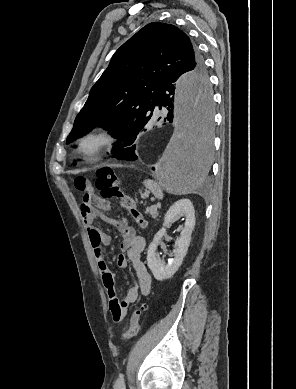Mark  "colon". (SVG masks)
<instances>
[{
  "mask_svg": "<svg viewBox=\"0 0 296 389\" xmlns=\"http://www.w3.org/2000/svg\"><path fill=\"white\" fill-rule=\"evenodd\" d=\"M74 186L78 191L84 194H88L92 190L91 183L83 176L75 178ZM95 187L99 191L101 198L105 200L119 199L121 205L130 213L136 224L140 227L146 226V221L142 213L137 209L133 198L122 191L119 179L113 169L109 167L100 168L96 174ZM145 309L146 305L141 304L134 310L130 319L129 328L122 335V338L125 341L131 340L137 336L140 329V316ZM113 320L115 322L122 320V315L119 311H116L113 314Z\"/></svg>",
  "mask_w": 296,
  "mask_h": 389,
  "instance_id": "1",
  "label": "colon"
}]
</instances>
